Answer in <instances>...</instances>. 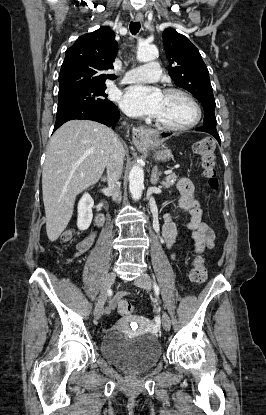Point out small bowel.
Here are the masks:
<instances>
[{
  "label": "small bowel",
  "instance_id": "small-bowel-1",
  "mask_svg": "<svg viewBox=\"0 0 266 415\" xmlns=\"http://www.w3.org/2000/svg\"><path fill=\"white\" fill-rule=\"evenodd\" d=\"M177 189L179 191V207L189 212L190 219L186 222L187 229L191 232V236L195 241V251L202 253L206 249L214 246V232L202 221V210L199 201L194 194V186L187 178H181L178 181ZM177 227L171 216L166 214L162 226V236L167 248H171L176 239ZM95 234H91L77 244L75 257L87 252L93 245ZM174 257V255H172ZM124 293H119L110 302L108 311L115 308L117 302L123 297Z\"/></svg>",
  "mask_w": 266,
  "mask_h": 415
}]
</instances>
